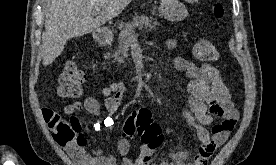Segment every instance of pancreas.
I'll return each mask as SVG.
<instances>
[{"mask_svg":"<svg viewBox=\"0 0 276 165\" xmlns=\"http://www.w3.org/2000/svg\"><path fill=\"white\" fill-rule=\"evenodd\" d=\"M159 25L156 19L144 15L134 17L121 30L118 38V48L113 54L114 60L118 63H123L128 58V52L131 44L135 39L136 29L155 30Z\"/></svg>","mask_w":276,"mask_h":165,"instance_id":"cf45deb5","label":"pancreas"}]
</instances>
